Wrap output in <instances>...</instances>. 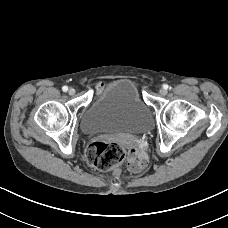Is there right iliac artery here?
Segmentation results:
<instances>
[{
    "instance_id": "right-iliac-artery-1",
    "label": "right iliac artery",
    "mask_w": 228,
    "mask_h": 228,
    "mask_svg": "<svg viewBox=\"0 0 228 228\" xmlns=\"http://www.w3.org/2000/svg\"><path fill=\"white\" fill-rule=\"evenodd\" d=\"M62 90H63L64 92H67V91H68V87H67V86H63V87H62Z\"/></svg>"
}]
</instances>
